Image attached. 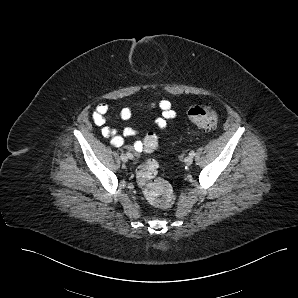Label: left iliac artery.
I'll use <instances>...</instances> for the list:
<instances>
[{
	"label": "left iliac artery",
	"instance_id": "left-iliac-artery-1",
	"mask_svg": "<svg viewBox=\"0 0 298 298\" xmlns=\"http://www.w3.org/2000/svg\"><path fill=\"white\" fill-rule=\"evenodd\" d=\"M189 155L193 157V156L195 155V152H194V151H191V152L189 153Z\"/></svg>",
	"mask_w": 298,
	"mask_h": 298
}]
</instances>
